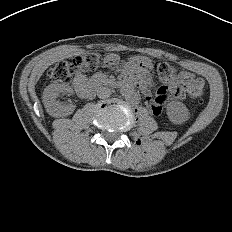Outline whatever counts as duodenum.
<instances>
[{
    "mask_svg": "<svg viewBox=\"0 0 232 232\" xmlns=\"http://www.w3.org/2000/svg\"><path fill=\"white\" fill-rule=\"evenodd\" d=\"M133 85L140 87L143 91L147 88V83L144 81H140L137 78H128L125 81L119 82V85ZM78 94L83 98H91L95 93V88L92 83L83 82L76 87Z\"/></svg>",
    "mask_w": 232,
    "mask_h": 232,
    "instance_id": "obj_1",
    "label": "duodenum"
}]
</instances>
